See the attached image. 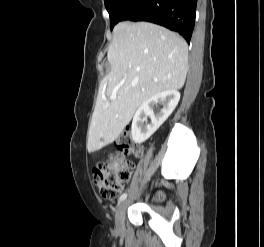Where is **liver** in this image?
<instances>
[{
    "label": "liver",
    "instance_id": "1",
    "mask_svg": "<svg viewBox=\"0 0 264 247\" xmlns=\"http://www.w3.org/2000/svg\"><path fill=\"white\" fill-rule=\"evenodd\" d=\"M111 71L102 80L87 139L88 152L118 138L150 97L183 87L188 45L176 33L148 22H120L107 54ZM113 94L116 100H111Z\"/></svg>",
    "mask_w": 264,
    "mask_h": 247
}]
</instances>
